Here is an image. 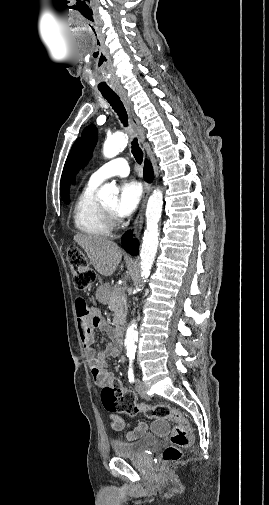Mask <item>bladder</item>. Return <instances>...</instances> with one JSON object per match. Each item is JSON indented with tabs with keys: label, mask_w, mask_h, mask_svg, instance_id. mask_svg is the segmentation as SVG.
<instances>
[{
	"label": "bladder",
	"mask_w": 269,
	"mask_h": 505,
	"mask_svg": "<svg viewBox=\"0 0 269 505\" xmlns=\"http://www.w3.org/2000/svg\"><path fill=\"white\" fill-rule=\"evenodd\" d=\"M157 438L143 435L131 441H115L112 444L114 455L118 458H142L156 443Z\"/></svg>",
	"instance_id": "bladder-1"
}]
</instances>
